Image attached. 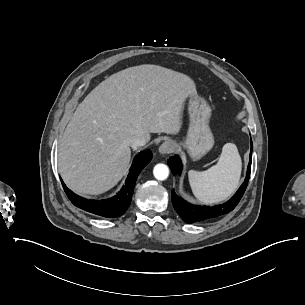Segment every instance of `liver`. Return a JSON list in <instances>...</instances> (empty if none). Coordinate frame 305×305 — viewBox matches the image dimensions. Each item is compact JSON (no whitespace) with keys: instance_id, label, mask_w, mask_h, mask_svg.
I'll return each mask as SVG.
<instances>
[{"instance_id":"1","label":"liver","mask_w":305,"mask_h":305,"mask_svg":"<svg viewBox=\"0 0 305 305\" xmlns=\"http://www.w3.org/2000/svg\"><path fill=\"white\" fill-rule=\"evenodd\" d=\"M187 76L144 65L119 72L78 105L59 141L58 169L77 193L99 194L127 173L130 140L150 133L180 134L189 98Z\"/></svg>"}]
</instances>
